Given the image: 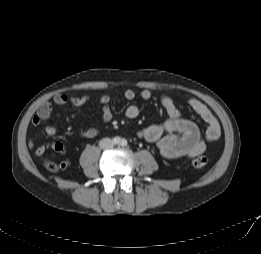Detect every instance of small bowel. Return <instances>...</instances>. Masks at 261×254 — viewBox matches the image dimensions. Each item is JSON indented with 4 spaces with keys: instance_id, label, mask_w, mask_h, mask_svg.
Segmentation results:
<instances>
[{
    "instance_id": "1",
    "label": "small bowel",
    "mask_w": 261,
    "mask_h": 254,
    "mask_svg": "<svg viewBox=\"0 0 261 254\" xmlns=\"http://www.w3.org/2000/svg\"><path fill=\"white\" fill-rule=\"evenodd\" d=\"M145 100L150 99L152 93L149 89H144L140 93ZM136 93L132 89L124 92L125 99L131 101L135 98ZM88 95L68 96L65 94L56 95L52 100L42 104L32 118V125H44V132L48 136L56 134L57 129L53 124L48 123L52 113L53 104L66 105L70 104L76 107L82 106L89 101ZM160 103L165 108L167 118L160 124L150 125L139 131V137L149 143H155L159 153L166 158H181L198 156L206 150L207 144L219 139L221 127L219 121L208 107L195 98L187 100L188 107L197 114L206 123V132L201 136L197 124L191 120L185 119L181 111L176 107L171 97L162 95L159 98ZM98 112L101 114L105 123L112 119L110 108V96L103 94L98 99ZM140 108L132 104L126 109V116L134 119L138 117ZM98 128L78 129V134L85 137H94L98 134ZM30 148L36 155H42L46 147H51L61 155L66 154L65 147L61 143H52L48 146L35 148L32 141L29 142ZM62 169L67 168V162L61 164Z\"/></svg>"
}]
</instances>
